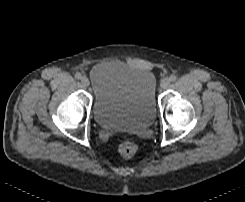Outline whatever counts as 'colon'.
Masks as SVG:
<instances>
[{
	"label": "colon",
	"instance_id": "5ec220e1",
	"mask_svg": "<svg viewBox=\"0 0 245 202\" xmlns=\"http://www.w3.org/2000/svg\"><path fill=\"white\" fill-rule=\"evenodd\" d=\"M138 152L137 145L132 141H122L119 145V153L125 158H133Z\"/></svg>",
	"mask_w": 245,
	"mask_h": 202
}]
</instances>
